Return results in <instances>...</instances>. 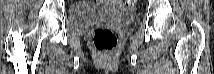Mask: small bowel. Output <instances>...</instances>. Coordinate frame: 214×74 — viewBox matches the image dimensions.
<instances>
[{"instance_id": "obj_1", "label": "small bowel", "mask_w": 214, "mask_h": 74, "mask_svg": "<svg viewBox=\"0 0 214 74\" xmlns=\"http://www.w3.org/2000/svg\"><path fill=\"white\" fill-rule=\"evenodd\" d=\"M113 2H114V1H113ZM114 3L118 4L119 2H114Z\"/></svg>"}]
</instances>
